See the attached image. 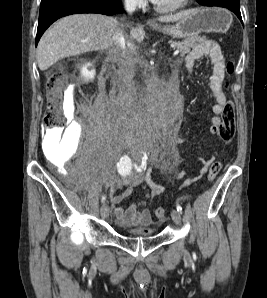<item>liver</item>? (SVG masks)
Listing matches in <instances>:
<instances>
[{
	"label": "liver",
	"mask_w": 267,
	"mask_h": 298,
	"mask_svg": "<svg viewBox=\"0 0 267 298\" xmlns=\"http://www.w3.org/2000/svg\"><path fill=\"white\" fill-rule=\"evenodd\" d=\"M186 11L158 18L160 22H175ZM120 28L115 18L99 14H76L64 17L47 30L37 47L40 70L45 71L57 61L86 52L110 49L118 45L115 40ZM131 36L141 42L145 31L141 26L131 30Z\"/></svg>",
	"instance_id": "6515ba94"
}]
</instances>
